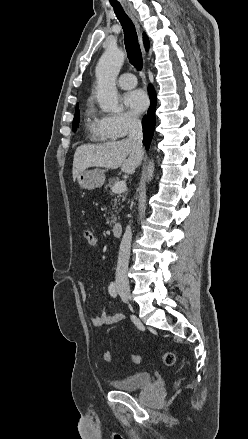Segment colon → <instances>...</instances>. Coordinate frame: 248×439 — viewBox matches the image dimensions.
Masks as SVG:
<instances>
[{
	"label": "colon",
	"mask_w": 248,
	"mask_h": 439,
	"mask_svg": "<svg viewBox=\"0 0 248 439\" xmlns=\"http://www.w3.org/2000/svg\"><path fill=\"white\" fill-rule=\"evenodd\" d=\"M84 239L86 241V243L89 246H95L97 245L98 239L96 234L91 231V230H85L84 231ZM103 359L108 362V363H112L113 362V356L111 354L110 351H105L103 353ZM130 360L133 364H139L140 363V356L138 355H131ZM162 360L165 363V365L167 366H174L177 362V357L173 352H165L162 355Z\"/></svg>",
	"instance_id": "colon-1"
}]
</instances>
